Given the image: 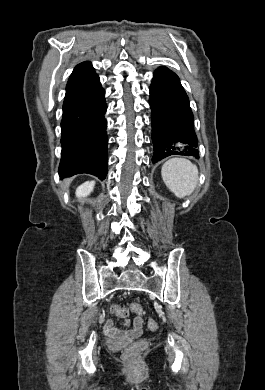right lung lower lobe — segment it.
<instances>
[{"instance_id":"right-lung-lower-lobe-1","label":"right lung lower lobe","mask_w":265,"mask_h":390,"mask_svg":"<svg viewBox=\"0 0 265 390\" xmlns=\"http://www.w3.org/2000/svg\"><path fill=\"white\" fill-rule=\"evenodd\" d=\"M105 91L90 62L69 77L61 121L60 178L88 173L103 180L107 174V106Z\"/></svg>"}]
</instances>
